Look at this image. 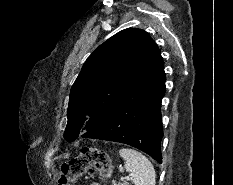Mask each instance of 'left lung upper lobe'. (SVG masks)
Returning <instances> with one entry per match:
<instances>
[{
  "instance_id": "5c2ea615",
  "label": "left lung upper lobe",
  "mask_w": 233,
  "mask_h": 185,
  "mask_svg": "<svg viewBox=\"0 0 233 185\" xmlns=\"http://www.w3.org/2000/svg\"><path fill=\"white\" fill-rule=\"evenodd\" d=\"M161 60L158 46L141 29L122 30L100 45L71 88L65 139L74 141L80 130L100 125L124 93Z\"/></svg>"
}]
</instances>
